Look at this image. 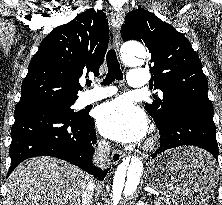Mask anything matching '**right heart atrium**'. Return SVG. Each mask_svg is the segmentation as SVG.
Listing matches in <instances>:
<instances>
[{"label":"right heart atrium","instance_id":"obj_1","mask_svg":"<svg viewBox=\"0 0 222 205\" xmlns=\"http://www.w3.org/2000/svg\"><path fill=\"white\" fill-rule=\"evenodd\" d=\"M101 145H102L103 147H106V143H105V142H101Z\"/></svg>","mask_w":222,"mask_h":205}]
</instances>
